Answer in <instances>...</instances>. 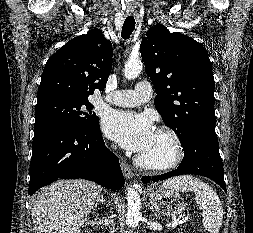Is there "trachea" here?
Here are the masks:
<instances>
[{
    "mask_svg": "<svg viewBox=\"0 0 253 233\" xmlns=\"http://www.w3.org/2000/svg\"><path fill=\"white\" fill-rule=\"evenodd\" d=\"M135 28V19L133 16H128L123 24V28H122V38L123 39H129V37L131 36L133 30Z\"/></svg>",
    "mask_w": 253,
    "mask_h": 233,
    "instance_id": "3493384b",
    "label": "trachea"
}]
</instances>
